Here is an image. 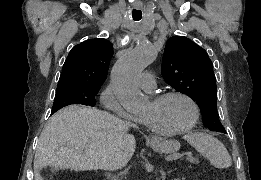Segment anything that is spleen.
Here are the masks:
<instances>
[{
  "label": "spleen",
  "mask_w": 261,
  "mask_h": 180,
  "mask_svg": "<svg viewBox=\"0 0 261 180\" xmlns=\"http://www.w3.org/2000/svg\"><path fill=\"white\" fill-rule=\"evenodd\" d=\"M184 140H187L188 144H191L199 154L207 158L214 168H230L232 166L227 148L217 138L203 134V132H197V134L189 132L187 136H184Z\"/></svg>",
  "instance_id": "spleen-1"
}]
</instances>
